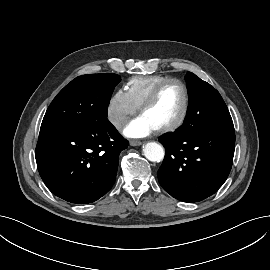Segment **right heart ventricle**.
Here are the masks:
<instances>
[{"label":"right heart ventricle","mask_w":270,"mask_h":270,"mask_svg":"<svg viewBox=\"0 0 270 270\" xmlns=\"http://www.w3.org/2000/svg\"><path fill=\"white\" fill-rule=\"evenodd\" d=\"M169 78L171 77L164 75L135 76L125 83L124 89L131 102L138 109L155 86Z\"/></svg>","instance_id":"obj_1"}]
</instances>
